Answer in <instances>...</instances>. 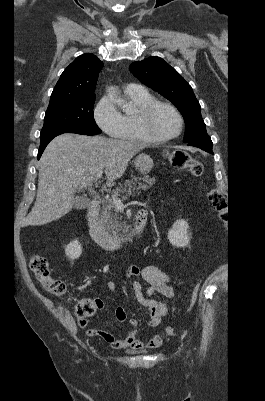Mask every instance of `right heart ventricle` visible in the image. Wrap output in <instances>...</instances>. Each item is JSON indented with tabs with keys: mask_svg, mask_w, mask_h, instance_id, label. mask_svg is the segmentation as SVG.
I'll list each match as a JSON object with an SVG mask.
<instances>
[{
	"mask_svg": "<svg viewBox=\"0 0 265 401\" xmlns=\"http://www.w3.org/2000/svg\"><path fill=\"white\" fill-rule=\"evenodd\" d=\"M125 91V90H124ZM127 103L133 105V110L127 111L123 108L121 113L122 127L115 136L117 139L108 143H119L123 141H146L138 124L140 111L154 101V98L146 91L139 88L136 91H125Z\"/></svg>",
	"mask_w": 265,
	"mask_h": 401,
	"instance_id": "obj_1",
	"label": "right heart ventricle"
}]
</instances>
